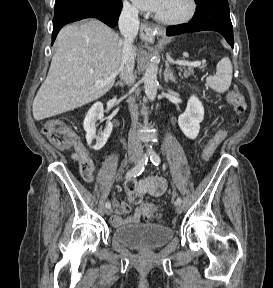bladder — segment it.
<instances>
[{"label": "bladder", "instance_id": "bladder-1", "mask_svg": "<svg viewBox=\"0 0 273 288\" xmlns=\"http://www.w3.org/2000/svg\"><path fill=\"white\" fill-rule=\"evenodd\" d=\"M173 238L172 228L150 223L124 224L112 232V239L120 246L137 251L162 248Z\"/></svg>", "mask_w": 273, "mask_h": 288}]
</instances>
